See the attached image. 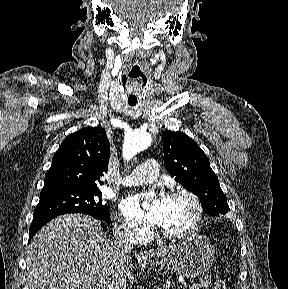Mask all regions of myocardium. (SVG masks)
<instances>
[{"instance_id": "myocardium-1", "label": "myocardium", "mask_w": 288, "mask_h": 289, "mask_svg": "<svg viewBox=\"0 0 288 289\" xmlns=\"http://www.w3.org/2000/svg\"><path fill=\"white\" fill-rule=\"evenodd\" d=\"M164 198L165 199L186 198L191 202L194 208V217L190 226L184 230L171 232L161 228L159 230V233L169 239H184L196 234V232L201 226L204 213L203 205L199 197L189 190L177 189L169 191Z\"/></svg>"}]
</instances>
